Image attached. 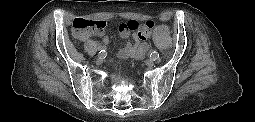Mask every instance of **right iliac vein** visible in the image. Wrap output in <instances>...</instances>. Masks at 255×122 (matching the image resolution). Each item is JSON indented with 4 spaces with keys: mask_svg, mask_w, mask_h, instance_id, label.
Returning <instances> with one entry per match:
<instances>
[{
    "mask_svg": "<svg viewBox=\"0 0 255 122\" xmlns=\"http://www.w3.org/2000/svg\"><path fill=\"white\" fill-rule=\"evenodd\" d=\"M103 59H104V54L103 53H99L98 56H97V62L101 63V62H103Z\"/></svg>",
    "mask_w": 255,
    "mask_h": 122,
    "instance_id": "63e3f726",
    "label": "right iliac vein"
}]
</instances>
